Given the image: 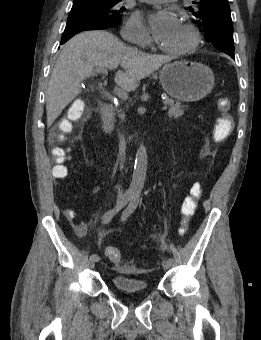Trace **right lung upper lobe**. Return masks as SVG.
<instances>
[{
	"label": "right lung upper lobe",
	"mask_w": 261,
	"mask_h": 340,
	"mask_svg": "<svg viewBox=\"0 0 261 340\" xmlns=\"http://www.w3.org/2000/svg\"><path fill=\"white\" fill-rule=\"evenodd\" d=\"M87 1V0H74V2ZM96 1H108V0H96Z\"/></svg>",
	"instance_id": "1"
}]
</instances>
